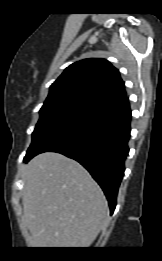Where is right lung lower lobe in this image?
<instances>
[{
  "label": "right lung lower lobe",
  "mask_w": 162,
  "mask_h": 261,
  "mask_svg": "<svg viewBox=\"0 0 162 261\" xmlns=\"http://www.w3.org/2000/svg\"><path fill=\"white\" fill-rule=\"evenodd\" d=\"M130 122L131 110L125 96L60 127L26 154L24 162L49 151L78 161L103 189L112 214L129 152Z\"/></svg>",
  "instance_id": "obj_1"
}]
</instances>
